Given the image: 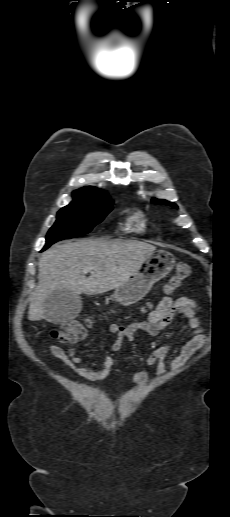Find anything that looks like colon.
I'll use <instances>...</instances> for the list:
<instances>
[{
  "label": "colon",
  "instance_id": "1",
  "mask_svg": "<svg viewBox=\"0 0 230 517\" xmlns=\"http://www.w3.org/2000/svg\"><path fill=\"white\" fill-rule=\"evenodd\" d=\"M192 268L186 263L178 264L173 276L170 278L166 291L171 292L176 289L180 283L191 277ZM92 319L86 318L82 321H71L62 324L58 329L52 332L55 339L63 344H73L83 339L90 327L92 326Z\"/></svg>",
  "mask_w": 230,
  "mask_h": 517
}]
</instances>
